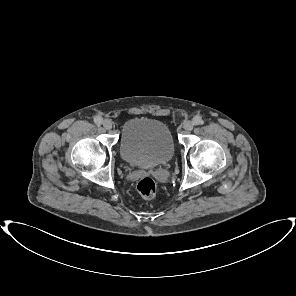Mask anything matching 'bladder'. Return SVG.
Here are the masks:
<instances>
[{
	"label": "bladder",
	"instance_id": "31cf9c89",
	"mask_svg": "<svg viewBox=\"0 0 296 296\" xmlns=\"http://www.w3.org/2000/svg\"><path fill=\"white\" fill-rule=\"evenodd\" d=\"M119 150L130 165L154 168L169 162L174 154V141L167 124L149 118H133L122 127Z\"/></svg>",
	"mask_w": 296,
	"mask_h": 296
}]
</instances>
